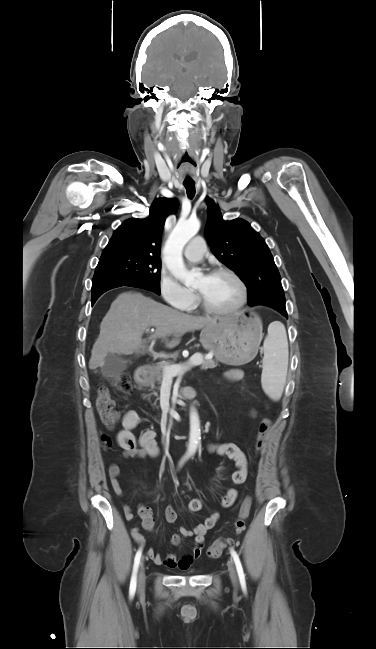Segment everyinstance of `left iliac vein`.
Here are the masks:
<instances>
[{"instance_id": "4c4485c4", "label": "left iliac vein", "mask_w": 376, "mask_h": 649, "mask_svg": "<svg viewBox=\"0 0 376 649\" xmlns=\"http://www.w3.org/2000/svg\"><path fill=\"white\" fill-rule=\"evenodd\" d=\"M228 570L230 574L231 581L235 587L238 586V577L236 573V569L234 567V564L232 561H228Z\"/></svg>"}]
</instances>
